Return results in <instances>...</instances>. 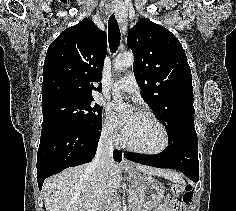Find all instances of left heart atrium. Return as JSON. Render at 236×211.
Listing matches in <instances>:
<instances>
[{
  "instance_id": "1",
  "label": "left heart atrium",
  "mask_w": 236,
  "mask_h": 211,
  "mask_svg": "<svg viewBox=\"0 0 236 211\" xmlns=\"http://www.w3.org/2000/svg\"><path fill=\"white\" fill-rule=\"evenodd\" d=\"M117 107L116 104H113L112 108L115 110ZM137 115L136 112H132V114L124 119H120L119 122L123 126L124 129H127L129 125L132 123L133 119Z\"/></svg>"
}]
</instances>
